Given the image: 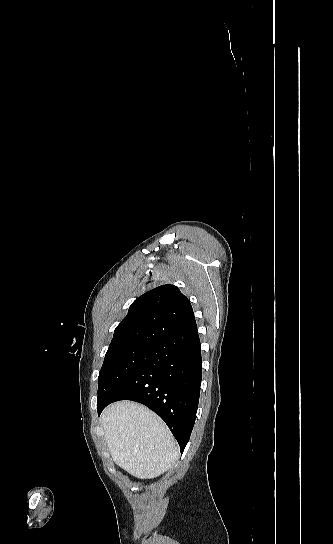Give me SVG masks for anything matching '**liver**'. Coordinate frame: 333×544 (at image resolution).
Here are the masks:
<instances>
[{
	"label": "liver",
	"mask_w": 333,
	"mask_h": 544,
	"mask_svg": "<svg viewBox=\"0 0 333 544\" xmlns=\"http://www.w3.org/2000/svg\"><path fill=\"white\" fill-rule=\"evenodd\" d=\"M101 424L113 461L137 478L157 477L179 458L178 444L166 424L143 405L114 403L103 411Z\"/></svg>",
	"instance_id": "liver-1"
}]
</instances>
